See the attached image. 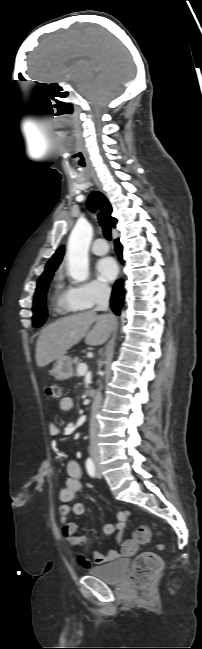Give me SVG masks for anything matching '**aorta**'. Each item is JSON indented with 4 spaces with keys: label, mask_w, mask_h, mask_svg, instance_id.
Wrapping results in <instances>:
<instances>
[{
    "label": "aorta",
    "mask_w": 202,
    "mask_h": 649,
    "mask_svg": "<svg viewBox=\"0 0 202 649\" xmlns=\"http://www.w3.org/2000/svg\"><path fill=\"white\" fill-rule=\"evenodd\" d=\"M93 228L89 222L80 219L69 237L67 246L68 272L78 282L89 277L88 250L92 240Z\"/></svg>",
    "instance_id": "762f6f07"
}]
</instances>
